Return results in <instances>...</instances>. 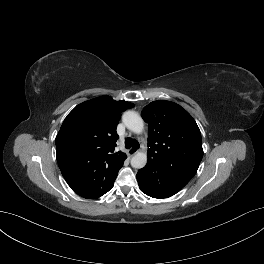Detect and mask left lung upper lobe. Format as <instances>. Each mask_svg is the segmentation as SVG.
I'll return each mask as SVG.
<instances>
[{"label": "left lung upper lobe", "instance_id": "1", "mask_svg": "<svg viewBox=\"0 0 264 264\" xmlns=\"http://www.w3.org/2000/svg\"><path fill=\"white\" fill-rule=\"evenodd\" d=\"M148 130V160L167 173H181L190 180L196 173L203 149L200 130L180 105L153 101L141 112Z\"/></svg>", "mask_w": 264, "mask_h": 264}]
</instances>
